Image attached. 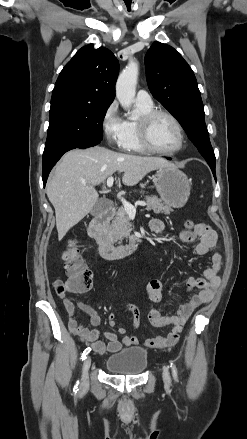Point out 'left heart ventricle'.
<instances>
[{
	"label": "left heart ventricle",
	"mask_w": 247,
	"mask_h": 439,
	"mask_svg": "<svg viewBox=\"0 0 247 439\" xmlns=\"http://www.w3.org/2000/svg\"><path fill=\"white\" fill-rule=\"evenodd\" d=\"M150 142L156 149L171 150L179 142V135L174 123L166 116H157L150 126Z\"/></svg>",
	"instance_id": "b2bd125f"
}]
</instances>
